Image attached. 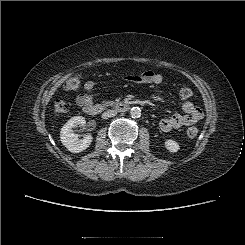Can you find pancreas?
I'll list each match as a JSON object with an SVG mask.
<instances>
[{"label":"pancreas","instance_id":"1","mask_svg":"<svg viewBox=\"0 0 245 245\" xmlns=\"http://www.w3.org/2000/svg\"><path fill=\"white\" fill-rule=\"evenodd\" d=\"M103 104L106 105V106H113V105H115V102H113V101H103Z\"/></svg>","mask_w":245,"mask_h":245}]
</instances>
